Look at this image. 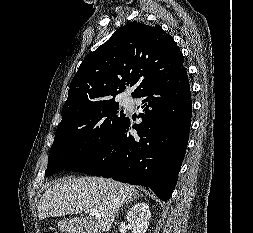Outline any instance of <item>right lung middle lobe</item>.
Here are the masks:
<instances>
[{
  "instance_id": "right-lung-middle-lobe-1",
  "label": "right lung middle lobe",
  "mask_w": 253,
  "mask_h": 233,
  "mask_svg": "<svg viewBox=\"0 0 253 233\" xmlns=\"http://www.w3.org/2000/svg\"><path fill=\"white\" fill-rule=\"evenodd\" d=\"M118 108V103L110 99L62 118L45 175L67 170L104 148L126 118Z\"/></svg>"
}]
</instances>
